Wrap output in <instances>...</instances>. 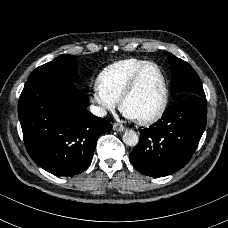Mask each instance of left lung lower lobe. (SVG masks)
<instances>
[{
  "label": "left lung lower lobe",
  "instance_id": "1",
  "mask_svg": "<svg viewBox=\"0 0 228 228\" xmlns=\"http://www.w3.org/2000/svg\"><path fill=\"white\" fill-rule=\"evenodd\" d=\"M207 120L205 97H189L168 108L162 118L140 130L138 145L129 155L132 165L151 177L170 175L194 154Z\"/></svg>",
  "mask_w": 228,
  "mask_h": 228
}]
</instances>
